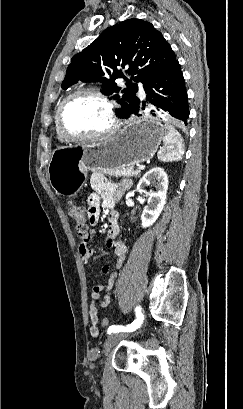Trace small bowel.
<instances>
[{
    "mask_svg": "<svg viewBox=\"0 0 243 409\" xmlns=\"http://www.w3.org/2000/svg\"><path fill=\"white\" fill-rule=\"evenodd\" d=\"M131 185L129 180L120 183H110L102 176H95L92 180L93 192L89 196V208L87 216L90 225L95 226L99 220L101 208L110 212V222L106 246L112 248L116 256V268L120 269L126 259V246L118 240L119 228L117 224V212L115 206L123 192ZM94 236V231L90 230L85 237H82L79 244V252L84 264H88L93 255V250L88 246ZM102 273L108 276V280L103 285L92 287L89 301V316L91 321L90 334L93 337L99 336L98 309L107 307L111 300V291L117 278V273L110 270L107 265L102 267Z\"/></svg>",
    "mask_w": 243,
    "mask_h": 409,
    "instance_id": "small-bowel-1",
    "label": "small bowel"
}]
</instances>
